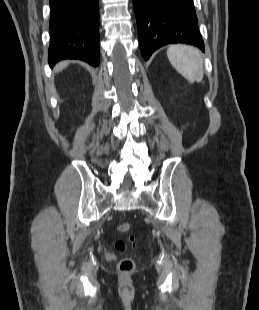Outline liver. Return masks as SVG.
Segmentation results:
<instances>
[{
    "instance_id": "6515ba94",
    "label": "liver",
    "mask_w": 259,
    "mask_h": 310,
    "mask_svg": "<svg viewBox=\"0 0 259 310\" xmlns=\"http://www.w3.org/2000/svg\"><path fill=\"white\" fill-rule=\"evenodd\" d=\"M68 64H69V61H64V62L59 63L54 69L55 72H59L63 70Z\"/></svg>"
}]
</instances>
